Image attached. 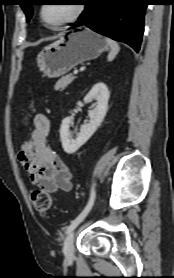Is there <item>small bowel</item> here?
I'll return each mask as SVG.
<instances>
[{"label":"small bowel","mask_w":174,"mask_h":278,"mask_svg":"<svg viewBox=\"0 0 174 278\" xmlns=\"http://www.w3.org/2000/svg\"><path fill=\"white\" fill-rule=\"evenodd\" d=\"M51 123L49 118L38 113L33 119V150L18 153V160L28 173L31 184L47 193L70 191L72 173L60 156L48 145Z\"/></svg>","instance_id":"obj_1"}]
</instances>
